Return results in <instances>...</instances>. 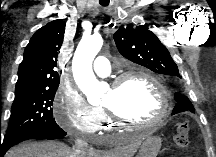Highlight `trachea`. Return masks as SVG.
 Listing matches in <instances>:
<instances>
[{"instance_id":"trachea-1","label":"trachea","mask_w":216,"mask_h":157,"mask_svg":"<svg viewBox=\"0 0 216 157\" xmlns=\"http://www.w3.org/2000/svg\"><path fill=\"white\" fill-rule=\"evenodd\" d=\"M108 4H109V3H106V2H100V5H101V6H104V7H105V6H108Z\"/></svg>"}]
</instances>
